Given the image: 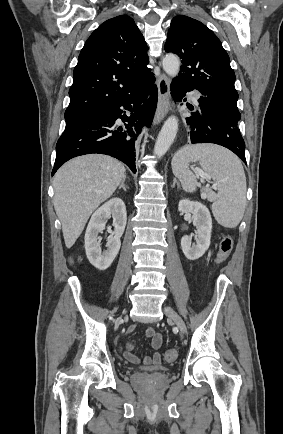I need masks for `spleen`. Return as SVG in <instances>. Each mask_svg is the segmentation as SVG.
Listing matches in <instances>:
<instances>
[{
  "mask_svg": "<svg viewBox=\"0 0 283 434\" xmlns=\"http://www.w3.org/2000/svg\"><path fill=\"white\" fill-rule=\"evenodd\" d=\"M197 161L218 190L212 204L215 219L226 228H235L242 220L246 206V177L241 161L229 150L213 144L182 148L172 159V170L187 192L196 189L197 179L188 165Z\"/></svg>",
  "mask_w": 283,
  "mask_h": 434,
  "instance_id": "obj_1",
  "label": "spleen"
}]
</instances>
